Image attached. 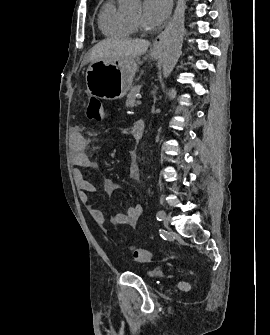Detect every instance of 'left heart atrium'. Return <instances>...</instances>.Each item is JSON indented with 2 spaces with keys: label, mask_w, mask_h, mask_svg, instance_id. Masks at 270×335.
Wrapping results in <instances>:
<instances>
[{
  "label": "left heart atrium",
  "mask_w": 270,
  "mask_h": 335,
  "mask_svg": "<svg viewBox=\"0 0 270 335\" xmlns=\"http://www.w3.org/2000/svg\"><path fill=\"white\" fill-rule=\"evenodd\" d=\"M168 14V0H145L141 25L147 37L153 36L160 30Z\"/></svg>",
  "instance_id": "1"
}]
</instances>
